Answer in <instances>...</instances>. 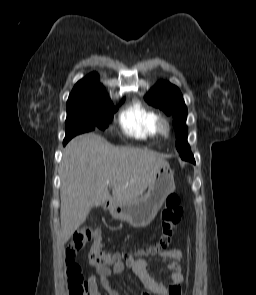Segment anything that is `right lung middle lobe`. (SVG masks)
<instances>
[{
	"label": "right lung middle lobe",
	"instance_id": "dd1d6c3e",
	"mask_svg": "<svg viewBox=\"0 0 256 295\" xmlns=\"http://www.w3.org/2000/svg\"><path fill=\"white\" fill-rule=\"evenodd\" d=\"M116 110L117 107H114L109 99L88 100L67 106L64 143L80 133L92 131L95 128L104 130L108 127Z\"/></svg>",
	"mask_w": 256,
	"mask_h": 295
}]
</instances>
